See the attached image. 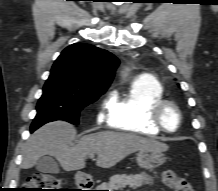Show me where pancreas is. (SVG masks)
I'll return each instance as SVG.
<instances>
[{"label": "pancreas", "mask_w": 218, "mask_h": 191, "mask_svg": "<svg viewBox=\"0 0 218 191\" xmlns=\"http://www.w3.org/2000/svg\"><path fill=\"white\" fill-rule=\"evenodd\" d=\"M151 180L152 177L145 173L136 175H115L110 178L108 183L102 184L99 189L122 190L126 187L136 189L145 184H149Z\"/></svg>", "instance_id": "pancreas-1"}]
</instances>
